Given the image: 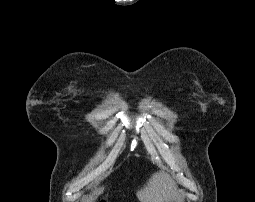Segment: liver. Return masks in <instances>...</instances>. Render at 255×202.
<instances>
[{
	"label": "liver",
	"instance_id": "obj_1",
	"mask_svg": "<svg viewBox=\"0 0 255 202\" xmlns=\"http://www.w3.org/2000/svg\"><path fill=\"white\" fill-rule=\"evenodd\" d=\"M177 187L168 173L157 172L151 176L143 188L136 195L140 202H164L177 196ZM104 187L96 189L94 193L101 194Z\"/></svg>",
	"mask_w": 255,
	"mask_h": 202
}]
</instances>
